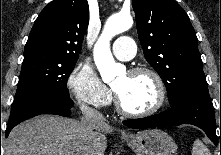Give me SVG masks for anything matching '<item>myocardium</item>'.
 I'll list each match as a JSON object with an SVG mask.
<instances>
[{"label": "myocardium", "mask_w": 221, "mask_h": 155, "mask_svg": "<svg viewBox=\"0 0 221 155\" xmlns=\"http://www.w3.org/2000/svg\"><path fill=\"white\" fill-rule=\"evenodd\" d=\"M127 73L129 75H138V74L150 75L156 83L157 90H158V98H157L155 105L149 110H146L143 112H133V111L128 110L124 106L120 96L113 89L115 105H116L117 110L122 115L127 116V117H133V118H145V117H149V116L156 114L163 107L165 100H166V87L160 74L156 72L154 69L149 68V67H134L128 70Z\"/></svg>", "instance_id": "obj_1"}]
</instances>
